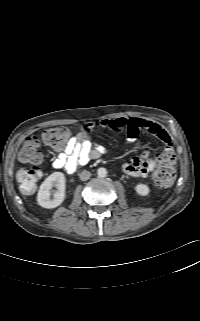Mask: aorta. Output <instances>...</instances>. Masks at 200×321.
<instances>
[{
  "instance_id": "1",
  "label": "aorta",
  "mask_w": 200,
  "mask_h": 321,
  "mask_svg": "<svg viewBox=\"0 0 200 321\" xmlns=\"http://www.w3.org/2000/svg\"><path fill=\"white\" fill-rule=\"evenodd\" d=\"M98 177L104 178L107 175V170L105 168H99L97 170Z\"/></svg>"
}]
</instances>
